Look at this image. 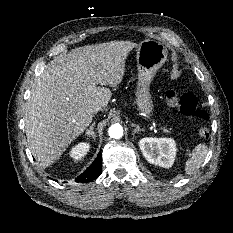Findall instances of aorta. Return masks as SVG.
Here are the masks:
<instances>
[{
	"mask_svg": "<svg viewBox=\"0 0 233 233\" xmlns=\"http://www.w3.org/2000/svg\"><path fill=\"white\" fill-rule=\"evenodd\" d=\"M109 136L114 139H120L123 136V128L120 124H113L108 130Z\"/></svg>",
	"mask_w": 233,
	"mask_h": 233,
	"instance_id": "aorta-1",
	"label": "aorta"
}]
</instances>
